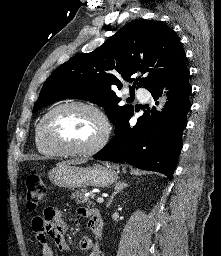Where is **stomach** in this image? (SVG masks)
Here are the masks:
<instances>
[{"label": "stomach", "instance_id": "stomach-1", "mask_svg": "<svg viewBox=\"0 0 221 256\" xmlns=\"http://www.w3.org/2000/svg\"><path fill=\"white\" fill-rule=\"evenodd\" d=\"M48 176L54 185L66 188L88 186L105 188L118 180L116 169L102 165L79 167L72 164H60L53 168Z\"/></svg>", "mask_w": 221, "mask_h": 256}]
</instances>
